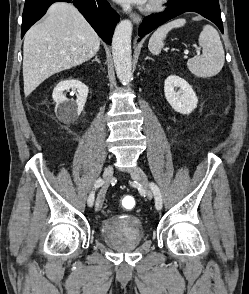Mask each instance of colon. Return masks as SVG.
<instances>
[{
	"label": "colon",
	"instance_id": "obj_1",
	"mask_svg": "<svg viewBox=\"0 0 249 294\" xmlns=\"http://www.w3.org/2000/svg\"><path fill=\"white\" fill-rule=\"evenodd\" d=\"M122 206L126 209H132L136 205V200L131 196H124L121 199Z\"/></svg>",
	"mask_w": 249,
	"mask_h": 294
}]
</instances>
